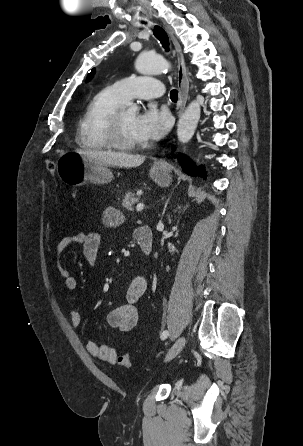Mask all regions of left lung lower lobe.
Here are the masks:
<instances>
[{"instance_id":"1","label":"left lung lower lobe","mask_w":303,"mask_h":446,"mask_svg":"<svg viewBox=\"0 0 303 446\" xmlns=\"http://www.w3.org/2000/svg\"><path fill=\"white\" fill-rule=\"evenodd\" d=\"M179 162L182 165V169L185 173L189 175H200V176H206L204 168H198L196 165H194L191 160L188 157H185L183 155H179Z\"/></svg>"}]
</instances>
